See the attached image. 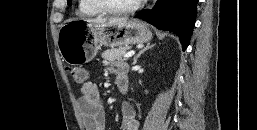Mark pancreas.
<instances>
[{
  "label": "pancreas",
  "mask_w": 257,
  "mask_h": 130,
  "mask_svg": "<svg viewBox=\"0 0 257 130\" xmlns=\"http://www.w3.org/2000/svg\"><path fill=\"white\" fill-rule=\"evenodd\" d=\"M130 49H131L130 46H121L119 48H113L110 50H106L102 53V58L105 61L110 62L111 64H115L117 62L122 61V57Z\"/></svg>",
  "instance_id": "1"
}]
</instances>
